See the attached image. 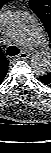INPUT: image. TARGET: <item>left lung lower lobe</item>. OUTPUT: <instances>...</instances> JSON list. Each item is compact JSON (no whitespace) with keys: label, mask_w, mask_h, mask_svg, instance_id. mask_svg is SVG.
<instances>
[{"label":"left lung lower lobe","mask_w":51,"mask_h":153,"mask_svg":"<svg viewBox=\"0 0 51 153\" xmlns=\"http://www.w3.org/2000/svg\"><path fill=\"white\" fill-rule=\"evenodd\" d=\"M40 80H41L44 84H46V85H48V86L51 87V83H49L48 80H47L46 78H44V75H43V76H40Z\"/></svg>","instance_id":"obj_1"}]
</instances>
